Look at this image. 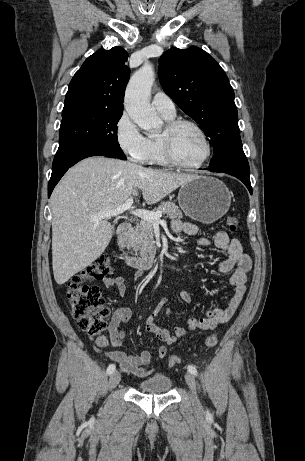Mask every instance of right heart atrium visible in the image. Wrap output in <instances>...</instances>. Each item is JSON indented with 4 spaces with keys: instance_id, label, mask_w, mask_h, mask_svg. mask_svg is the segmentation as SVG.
I'll return each mask as SVG.
<instances>
[{
    "instance_id": "d8ad5b80",
    "label": "right heart atrium",
    "mask_w": 305,
    "mask_h": 461,
    "mask_svg": "<svg viewBox=\"0 0 305 461\" xmlns=\"http://www.w3.org/2000/svg\"><path fill=\"white\" fill-rule=\"evenodd\" d=\"M115 137L120 149L136 163H144L148 153V138L145 137L127 112L116 122Z\"/></svg>"
}]
</instances>
